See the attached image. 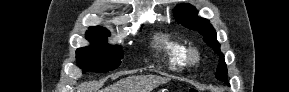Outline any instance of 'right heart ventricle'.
<instances>
[{
    "instance_id": "1",
    "label": "right heart ventricle",
    "mask_w": 289,
    "mask_h": 92,
    "mask_svg": "<svg viewBox=\"0 0 289 92\" xmlns=\"http://www.w3.org/2000/svg\"><path fill=\"white\" fill-rule=\"evenodd\" d=\"M156 44L166 65L173 71H181L186 66L188 48L179 39L165 35L156 37Z\"/></svg>"
}]
</instances>
